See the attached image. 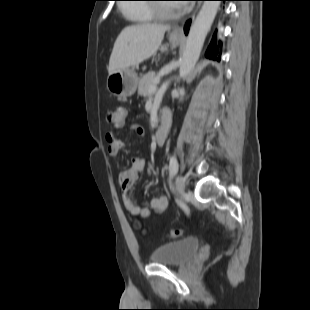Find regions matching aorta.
<instances>
[{
  "mask_svg": "<svg viewBox=\"0 0 310 310\" xmlns=\"http://www.w3.org/2000/svg\"><path fill=\"white\" fill-rule=\"evenodd\" d=\"M219 6L220 1H204L187 37L186 47L180 63V78H185L189 75L198 61L204 40L215 19Z\"/></svg>",
  "mask_w": 310,
  "mask_h": 310,
  "instance_id": "1",
  "label": "aorta"
}]
</instances>
